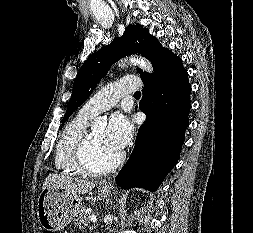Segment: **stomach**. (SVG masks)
I'll return each instance as SVG.
<instances>
[{"mask_svg":"<svg viewBox=\"0 0 253 233\" xmlns=\"http://www.w3.org/2000/svg\"><path fill=\"white\" fill-rule=\"evenodd\" d=\"M98 193L106 197L110 193V187L101 182ZM81 205L82 198L64 189H43L37 204L39 224L46 232L61 230L77 215Z\"/></svg>","mask_w":253,"mask_h":233,"instance_id":"1","label":"stomach"}]
</instances>
